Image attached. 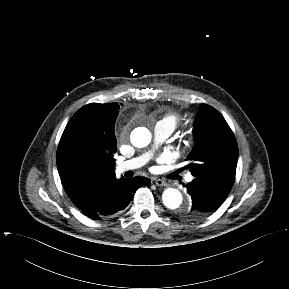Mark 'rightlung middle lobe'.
Instances as JSON below:
<instances>
[{
	"label": "right lung middle lobe",
	"instance_id": "obj_1",
	"mask_svg": "<svg viewBox=\"0 0 289 289\" xmlns=\"http://www.w3.org/2000/svg\"><path fill=\"white\" fill-rule=\"evenodd\" d=\"M118 104L91 103L79 109L64 132L66 148L83 158H103L117 151L114 133Z\"/></svg>",
	"mask_w": 289,
	"mask_h": 289
}]
</instances>
